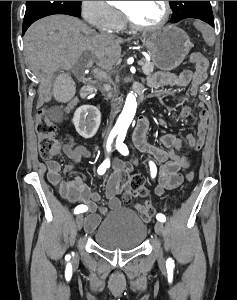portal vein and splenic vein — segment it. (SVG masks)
<instances>
[{
  "label": "portal vein and splenic vein",
  "mask_w": 237,
  "mask_h": 300,
  "mask_svg": "<svg viewBox=\"0 0 237 300\" xmlns=\"http://www.w3.org/2000/svg\"><path fill=\"white\" fill-rule=\"evenodd\" d=\"M139 65H140V67H143L144 62H143L142 60H140V61H139Z\"/></svg>",
  "instance_id": "portal-vein-and-splenic-vein-1"
}]
</instances>
